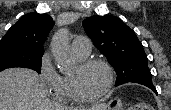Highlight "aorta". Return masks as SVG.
Masks as SVG:
<instances>
[{
  "label": "aorta",
  "mask_w": 171,
  "mask_h": 110,
  "mask_svg": "<svg viewBox=\"0 0 171 110\" xmlns=\"http://www.w3.org/2000/svg\"><path fill=\"white\" fill-rule=\"evenodd\" d=\"M51 52L61 72H67L72 67L69 56L68 38L65 32H60L53 37Z\"/></svg>",
  "instance_id": "762f6f07"
}]
</instances>
